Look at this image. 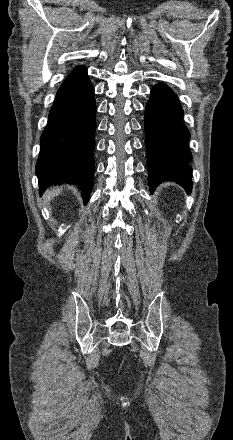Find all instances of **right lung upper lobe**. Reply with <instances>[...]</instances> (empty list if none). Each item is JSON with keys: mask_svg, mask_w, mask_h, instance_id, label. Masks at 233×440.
Here are the masks:
<instances>
[{"mask_svg": "<svg viewBox=\"0 0 233 440\" xmlns=\"http://www.w3.org/2000/svg\"><path fill=\"white\" fill-rule=\"evenodd\" d=\"M82 67H83V66H82ZM79 68H81V67H78V68H76V69H79ZM76 69H75V70H76Z\"/></svg>", "mask_w": 233, "mask_h": 440, "instance_id": "obj_1", "label": "right lung upper lobe"}]
</instances>
